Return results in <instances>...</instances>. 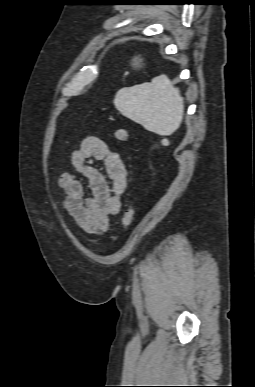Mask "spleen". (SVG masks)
Listing matches in <instances>:
<instances>
[{"mask_svg": "<svg viewBox=\"0 0 255 387\" xmlns=\"http://www.w3.org/2000/svg\"><path fill=\"white\" fill-rule=\"evenodd\" d=\"M114 105L123 116L162 136L175 132L184 114V99L166 75L120 89Z\"/></svg>", "mask_w": 255, "mask_h": 387, "instance_id": "1", "label": "spleen"}]
</instances>
